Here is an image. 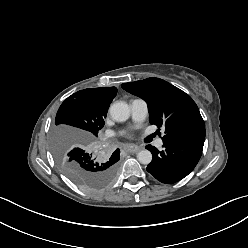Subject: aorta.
Returning <instances> with one entry per match:
<instances>
[{"label":"aorta","instance_id":"762f6f07","mask_svg":"<svg viewBox=\"0 0 248 248\" xmlns=\"http://www.w3.org/2000/svg\"><path fill=\"white\" fill-rule=\"evenodd\" d=\"M110 115L117 122H124L130 116V108L126 102L117 101L110 106ZM137 159L141 164L147 165L152 160V154L149 150H141L137 154Z\"/></svg>","mask_w":248,"mask_h":248}]
</instances>
